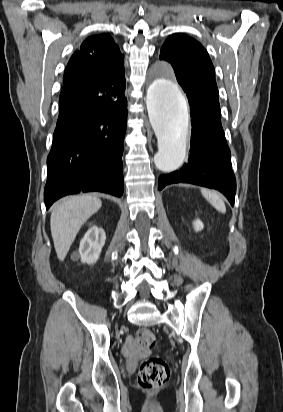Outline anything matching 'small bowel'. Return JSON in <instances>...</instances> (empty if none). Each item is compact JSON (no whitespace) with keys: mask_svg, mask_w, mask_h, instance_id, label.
Instances as JSON below:
<instances>
[{"mask_svg":"<svg viewBox=\"0 0 283 412\" xmlns=\"http://www.w3.org/2000/svg\"><path fill=\"white\" fill-rule=\"evenodd\" d=\"M121 353L131 361H137L146 356L147 350L138 344L132 336H129L121 348Z\"/></svg>","mask_w":283,"mask_h":412,"instance_id":"obj_1","label":"small bowel"}]
</instances>
